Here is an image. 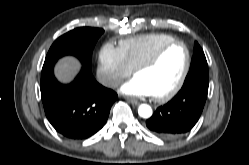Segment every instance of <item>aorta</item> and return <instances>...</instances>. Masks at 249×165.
Returning <instances> with one entry per match:
<instances>
[{
    "label": "aorta",
    "mask_w": 249,
    "mask_h": 165,
    "mask_svg": "<svg viewBox=\"0 0 249 165\" xmlns=\"http://www.w3.org/2000/svg\"><path fill=\"white\" fill-rule=\"evenodd\" d=\"M138 114L142 118H150L152 116V108L147 104H141L138 108Z\"/></svg>",
    "instance_id": "1"
}]
</instances>
